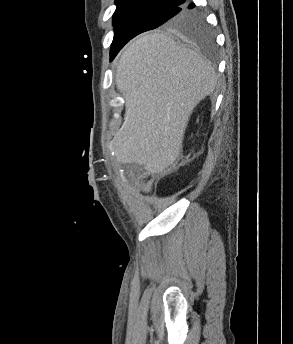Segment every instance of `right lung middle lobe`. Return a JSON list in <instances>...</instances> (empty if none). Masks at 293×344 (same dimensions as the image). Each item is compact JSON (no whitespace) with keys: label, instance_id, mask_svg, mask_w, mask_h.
Returning a JSON list of instances; mask_svg holds the SVG:
<instances>
[{"label":"right lung middle lobe","instance_id":"1","mask_svg":"<svg viewBox=\"0 0 293 344\" xmlns=\"http://www.w3.org/2000/svg\"><path fill=\"white\" fill-rule=\"evenodd\" d=\"M113 15L114 39L111 58L136 35L163 24L183 38L205 48L213 43V36L201 14L184 11L179 5L158 2L117 3Z\"/></svg>","mask_w":293,"mask_h":344}]
</instances>
